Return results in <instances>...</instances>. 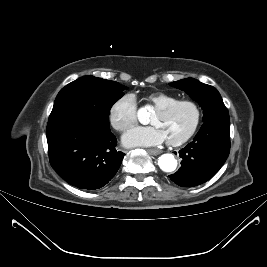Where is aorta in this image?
<instances>
[{
  "label": "aorta",
  "instance_id": "762f6f07",
  "mask_svg": "<svg viewBox=\"0 0 267 267\" xmlns=\"http://www.w3.org/2000/svg\"><path fill=\"white\" fill-rule=\"evenodd\" d=\"M145 113V109H141L138 112V116H141ZM158 165L160 169L164 172H173L177 167V160L173 154H163L158 158Z\"/></svg>",
  "mask_w": 267,
  "mask_h": 267
}]
</instances>
